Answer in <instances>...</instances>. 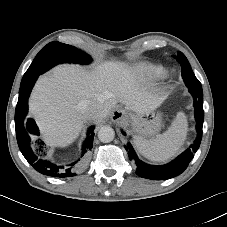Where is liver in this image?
<instances>
[{"label":"liver","mask_w":227,"mask_h":227,"mask_svg":"<svg viewBox=\"0 0 227 227\" xmlns=\"http://www.w3.org/2000/svg\"><path fill=\"white\" fill-rule=\"evenodd\" d=\"M165 98L149 91L137 70L122 62H104L92 70L65 64L38 79L29 109L45 141L52 146H66L78 137L90 118L82 109L84 101L101 106L99 113L91 117L100 121L118 102L145 114L158 108Z\"/></svg>","instance_id":"liver-1"}]
</instances>
